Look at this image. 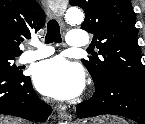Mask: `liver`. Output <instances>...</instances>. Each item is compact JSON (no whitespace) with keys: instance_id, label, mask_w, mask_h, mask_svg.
Segmentation results:
<instances>
[{"instance_id":"6515ba94","label":"liver","mask_w":145,"mask_h":124,"mask_svg":"<svg viewBox=\"0 0 145 124\" xmlns=\"http://www.w3.org/2000/svg\"><path fill=\"white\" fill-rule=\"evenodd\" d=\"M0 124H22V122L15 118H0Z\"/></svg>"}]
</instances>
